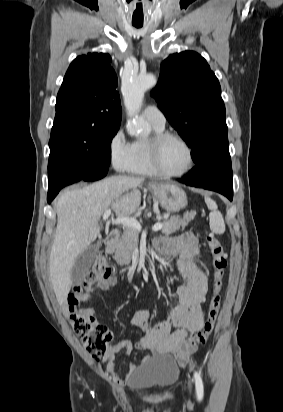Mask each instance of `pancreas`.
Segmentation results:
<instances>
[{"label":"pancreas","mask_w":283,"mask_h":412,"mask_svg":"<svg viewBox=\"0 0 283 412\" xmlns=\"http://www.w3.org/2000/svg\"><path fill=\"white\" fill-rule=\"evenodd\" d=\"M195 215V211H190L184 213L182 218L179 215L172 216L170 219L164 218L162 222V233L169 235L178 231L181 227L185 228L189 222L194 220ZM138 239L139 231L131 227H126L122 236L114 241L111 252L114 253V259L119 265L130 263L132 253L138 245Z\"/></svg>","instance_id":"1"}]
</instances>
